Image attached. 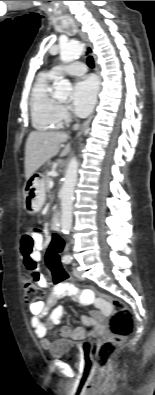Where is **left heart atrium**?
<instances>
[{"label": "left heart atrium", "instance_id": "left-heart-atrium-1", "mask_svg": "<svg viewBox=\"0 0 155 395\" xmlns=\"http://www.w3.org/2000/svg\"><path fill=\"white\" fill-rule=\"evenodd\" d=\"M98 91V83L94 77H86L76 82L72 94V109L80 117L92 110Z\"/></svg>", "mask_w": 155, "mask_h": 395}]
</instances>
